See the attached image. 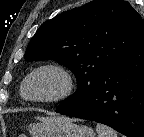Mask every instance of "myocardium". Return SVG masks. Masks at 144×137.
<instances>
[{
	"label": "myocardium",
	"mask_w": 144,
	"mask_h": 137,
	"mask_svg": "<svg viewBox=\"0 0 144 137\" xmlns=\"http://www.w3.org/2000/svg\"><path fill=\"white\" fill-rule=\"evenodd\" d=\"M43 72H52L59 76L61 79L62 85L60 90L55 93L54 95L48 97H29L25 94V89L29 81L35 77L36 75L43 73ZM74 78L71 72L66 69L64 66L55 64V63H47L40 66L35 67L32 69L24 78L21 84V96L30 102H37V103H55L62 101L68 98L73 90H74Z\"/></svg>",
	"instance_id": "f54148a6"
}]
</instances>
